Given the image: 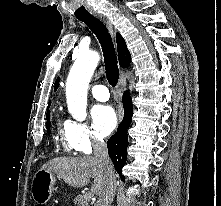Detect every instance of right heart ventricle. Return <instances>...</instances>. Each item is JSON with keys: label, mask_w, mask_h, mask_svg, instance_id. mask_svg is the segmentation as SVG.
I'll return each instance as SVG.
<instances>
[{"label": "right heart ventricle", "mask_w": 221, "mask_h": 206, "mask_svg": "<svg viewBox=\"0 0 221 206\" xmlns=\"http://www.w3.org/2000/svg\"><path fill=\"white\" fill-rule=\"evenodd\" d=\"M56 127H57V138L62 144L64 150H73L72 141V121L68 119H62L57 113L56 115Z\"/></svg>", "instance_id": "right-heart-ventricle-1"}]
</instances>
